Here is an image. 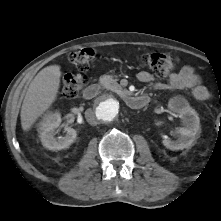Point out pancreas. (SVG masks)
Here are the masks:
<instances>
[{"mask_svg": "<svg viewBox=\"0 0 221 221\" xmlns=\"http://www.w3.org/2000/svg\"><path fill=\"white\" fill-rule=\"evenodd\" d=\"M100 84L108 90H119L122 89L121 86L117 83V80L112 76L103 75L100 77Z\"/></svg>", "mask_w": 221, "mask_h": 221, "instance_id": "cf45deb5", "label": "pancreas"}]
</instances>
